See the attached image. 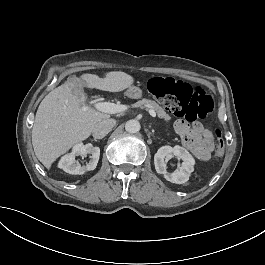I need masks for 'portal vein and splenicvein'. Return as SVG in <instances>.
<instances>
[{"label": "portal vein and splenic vein", "mask_w": 265, "mask_h": 265, "mask_svg": "<svg viewBox=\"0 0 265 265\" xmlns=\"http://www.w3.org/2000/svg\"><path fill=\"white\" fill-rule=\"evenodd\" d=\"M89 105L92 106V108H94L97 111L108 113V114H114V113L123 111L125 109V106L117 105L111 102L92 101V102H89ZM149 113L153 118H156L157 114L154 110H150Z\"/></svg>", "instance_id": "18ae733b"}]
</instances>
